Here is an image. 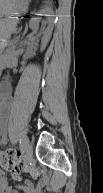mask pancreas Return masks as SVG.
<instances>
[{"instance_id": "pancreas-1", "label": "pancreas", "mask_w": 103, "mask_h": 193, "mask_svg": "<svg viewBox=\"0 0 103 193\" xmlns=\"http://www.w3.org/2000/svg\"><path fill=\"white\" fill-rule=\"evenodd\" d=\"M11 24H12V22H11ZM16 45H17V41L16 40L10 42L9 48L7 49V52L3 55V58L7 57V55L13 54Z\"/></svg>"}]
</instances>
